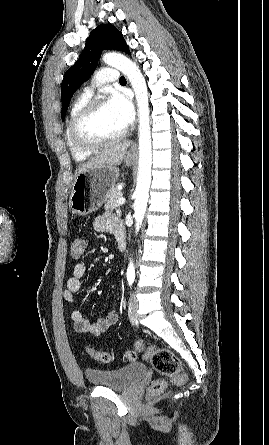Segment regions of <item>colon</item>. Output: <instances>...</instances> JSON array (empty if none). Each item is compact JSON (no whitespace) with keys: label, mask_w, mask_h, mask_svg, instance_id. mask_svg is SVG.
<instances>
[{"label":"colon","mask_w":269,"mask_h":445,"mask_svg":"<svg viewBox=\"0 0 269 445\" xmlns=\"http://www.w3.org/2000/svg\"><path fill=\"white\" fill-rule=\"evenodd\" d=\"M86 247V242L82 238H76L71 243L70 253L73 259L82 257ZM136 349L144 352V358L148 360L153 368L163 377L173 382L182 383L185 381V374L182 372V365L179 358L169 349L163 347H146L143 341L136 342ZM88 353L95 359L110 363L113 356L107 352L97 351L92 348L88 349ZM135 351H126L122 360L126 363H132L136 360ZM165 379H157L151 385L152 393H160L166 388Z\"/></svg>","instance_id":"obj_1"}]
</instances>
